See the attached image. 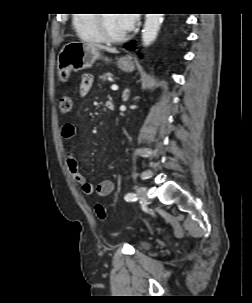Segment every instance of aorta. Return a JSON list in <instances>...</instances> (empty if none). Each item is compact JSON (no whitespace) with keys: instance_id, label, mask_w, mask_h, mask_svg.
I'll list each match as a JSON object with an SVG mask.
<instances>
[{"instance_id":"obj_1","label":"aorta","mask_w":252,"mask_h":303,"mask_svg":"<svg viewBox=\"0 0 252 303\" xmlns=\"http://www.w3.org/2000/svg\"><path fill=\"white\" fill-rule=\"evenodd\" d=\"M162 20L163 14H146L145 24L142 30V42L144 46H149L155 41Z\"/></svg>"}]
</instances>
